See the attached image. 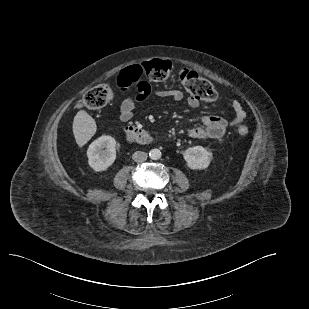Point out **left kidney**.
I'll use <instances>...</instances> for the list:
<instances>
[{"label": "left kidney", "instance_id": "5707ae66", "mask_svg": "<svg viewBox=\"0 0 309 309\" xmlns=\"http://www.w3.org/2000/svg\"><path fill=\"white\" fill-rule=\"evenodd\" d=\"M183 157L192 170L206 169L212 159V153L202 146H194L185 150Z\"/></svg>", "mask_w": 309, "mask_h": 309}]
</instances>
